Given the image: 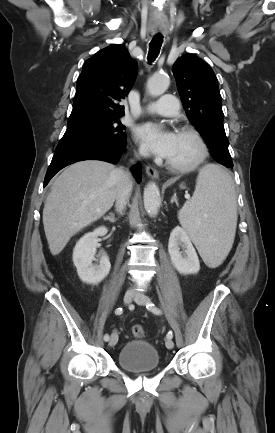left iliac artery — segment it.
<instances>
[{"mask_svg":"<svg viewBox=\"0 0 275 433\" xmlns=\"http://www.w3.org/2000/svg\"><path fill=\"white\" fill-rule=\"evenodd\" d=\"M146 308H147L149 311H151V312H153V313H155V314H157V315L161 314L160 309L157 308V307H156L152 302H148L147 305H146ZM172 337H173V333H172V331H169V332L167 333V338H168V339H172Z\"/></svg>","mask_w":275,"mask_h":433,"instance_id":"left-iliac-artery-1","label":"left iliac artery"}]
</instances>
